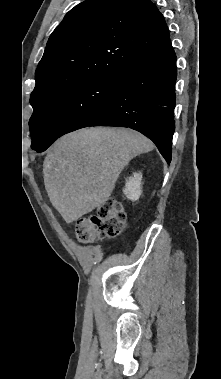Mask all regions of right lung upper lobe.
<instances>
[{"instance_id": "1", "label": "right lung upper lobe", "mask_w": 221, "mask_h": 379, "mask_svg": "<svg viewBox=\"0 0 221 379\" xmlns=\"http://www.w3.org/2000/svg\"><path fill=\"white\" fill-rule=\"evenodd\" d=\"M170 45L164 17L150 0H86L49 37L30 101L97 74L120 73Z\"/></svg>"}]
</instances>
